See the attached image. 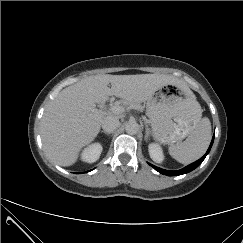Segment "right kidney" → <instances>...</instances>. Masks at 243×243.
<instances>
[{"mask_svg": "<svg viewBox=\"0 0 243 243\" xmlns=\"http://www.w3.org/2000/svg\"><path fill=\"white\" fill-rule=\"evenodd\" d=\"M101 153L102 145L100 143H94L83 150L81 159L87 163H93L99 159Z\"/></svg>", "mask_w": 243, "mask_h": 243, "instance_id": "ca27d5eb", "label": "right kidney"}]
</instances>
